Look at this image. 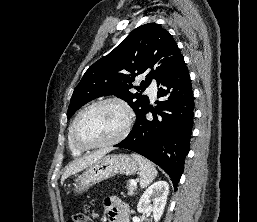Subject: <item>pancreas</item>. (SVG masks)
I'll use <instances>...</instances> for the list:
<instances>
[{"label": "pancreas", "instance_id": "1", "mask_svg": "<svg viewBox=\"0 0 257 222\" xmlns=\"http://www.w3.org/2000/svg\"><path fill=\"white\" fill-rule=\"evenodd\" d=\"M137 189L136 186H133L131 184L128 185L129 195H133L134 191Z\"/></svg>", "mask_w": 257, "mask_h": 222}]
</instances>
